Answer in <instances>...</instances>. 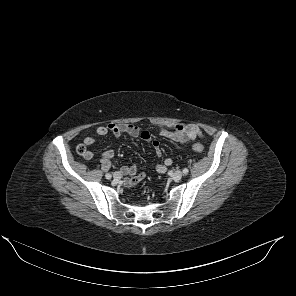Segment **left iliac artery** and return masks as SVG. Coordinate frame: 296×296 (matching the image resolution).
Segmentation results:
<instances>
[{"instance_id": "1", "label": "left iliac artery", "mask_w": 296, "mask_h": 296, "mask_svg": "<svg viewBox=\"0 0 296 296\" xmlns=\"http://www.w3.org/2000/svg\"><path fill=\"white\" fill-rule=\"evenodd\" d=\"M188 172H189V170H188L187 168H184V169H183V174L186 175V174H188Z\"/></svg>"}]
</instances>
